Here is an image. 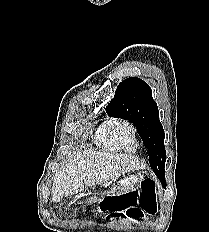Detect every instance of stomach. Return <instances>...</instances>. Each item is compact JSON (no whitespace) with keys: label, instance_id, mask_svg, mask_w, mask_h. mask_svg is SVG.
<instances>
[{"label":"stomach","instance_id":"1","mask_svg":"<svg viewBox=\"0 0 209 232\" xmlns=\"http://www.w3.org/2000/svg\"><path fill=\"white\" fill-rule=\"evenodd\" d=\"M142 178L143 177L139 174L130 175L128 177H123V179L118 182L116 189L114 190H116L117 193H123L125 191L135 189L138 186V184L141 182ZM109 193L114 194V192H109ZM100 201H103V200L101 198H88L87 199L88 203H99Z\"/></svg>","mask_w":209,"mask_h":232}]
</instances>
